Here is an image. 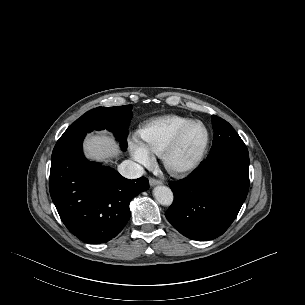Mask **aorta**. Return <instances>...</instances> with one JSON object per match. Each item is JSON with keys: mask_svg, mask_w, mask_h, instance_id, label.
Wrapping results in <instances>:
<instances>
[{"mask_svg": "<svg viewBox=\"0 0 305 305\" xmlns=\"http://www.w3.org/2000/svg\"><path fill=\"white\" fill-rule=\"evenodd\" d=\"M153 195L161 205L169 206L174 200L172 190L166 186H156L153 189Z\"/></svg>", "mask_w": 305, "mask_h": 305, "instance_id": "1", "label": "aorta"}]
</instances>
